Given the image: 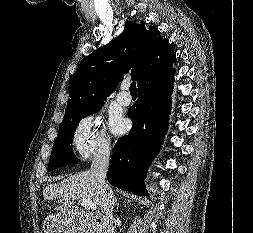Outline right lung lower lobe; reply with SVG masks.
<instances>
[{
	"instance_id": "right-lung-lower-lobe-1",
	"label": "right lung lower lobe",
	"mask_w": 253,
	"mask_h": 233,
	"mask_svg": "<svg viewBox=\"0 0 253 233\" xmlns=\"http://www.w3.org/2000/svg\"><path fill=\"white\" fill-rule=\"evenodd\" d=\"M174 73L169 69L138 88V100L128 110L132 129L117 141L107 172L119 189L148 196L144 179L168 129Z\"/></svg>"
}]
</instances>
